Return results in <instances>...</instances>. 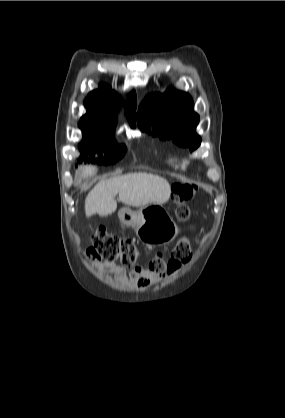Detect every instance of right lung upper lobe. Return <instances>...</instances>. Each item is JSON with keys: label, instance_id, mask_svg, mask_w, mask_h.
I'll use <instances>...</instances> for the list:
<instances>
[{"label": "right lung upper lobe", "instance_id": "1", "mask_svg": "<svg viewBox=\"0 0 285 418\" xmlns=\"http://www.w3.org/2000/svg\"><path fill=\"white\" fill-rule=\"evenodd\" d=\"M118 96L107 85H100L97 90L90 92L85 99V107L87 113L81 118V120L100 122L109 125H116V113L118 109ZM136 95L132 93L128 98V104L126 109L128 111V117L130 125L135 127L136 112L135 108Z\"/></svg>", "mask_w": 285, "mask_h": 418}]
</instances>
